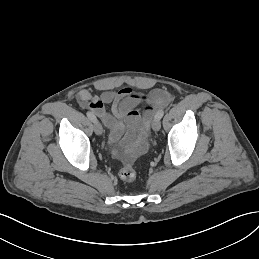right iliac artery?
<instances>
[{
  "instance_id": "right-iliac-artery-1",
  "label": "right iliac artery",
  "mask_w": 259,
  "mask_h": 259,
  "mask_svg": "<svg viewBox=\"0 0 259 259\" xmlns=\"http://www.w3.org/2000/svg\"><path fill=\"white\" fill-rule=\"evenodd\" d=\"M87 117H88L91 121H93V122L97 121L95 115H94L92 112H89V111H88V112H87Z\"/></svg>"
}]
</instances>
